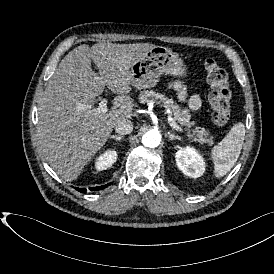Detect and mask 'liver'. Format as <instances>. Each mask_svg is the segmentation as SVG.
<instances>
[{"mask_svg": "<svg viewBox=\"0 0 274 274\" xmlns=\"http://www.w3.org/2000/svg\"><path fill=\"white\" fill-rule=\"evenodd\" d=\"M155 47L151 43L82 44L60 62L39 100L37 136L47 161L65 181L83 173L117 123L133 119L132 67ZM105 85L117 96L107 113L99 114L95 99Z\"/></svg>", "mask_w": 274, "mask_h": 274, "instance_id": "1", "label": "liver"}]
</instances>
